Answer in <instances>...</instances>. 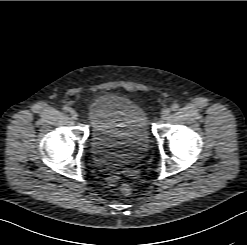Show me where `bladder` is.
<instances>
[{"instance_id":"bladder-1","label":"bladder","mask_w":247,"mask_h":245,"mask_svg":"<svg viewBox=\"0 0 247 245\" xmlns=\"http://www.w3.org/2000/svg\"><path fill=\"white\" fill-rule=\"evenodd\" d=\"M94 162L116 167L145 153L150 143L148 119L135 101L106 93L87 108Z\"/></svg>"}]
</instances>
